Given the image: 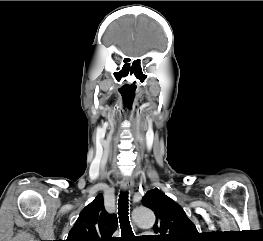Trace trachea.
Segmentation results:
<instances>
[{
	"instance_id": "obj_1",
	"label": "trachea",
	"mask_w": 263,
	"mask_h": 241,
	"mask_svg": "<svg viewBox=\"0 0 263 241\" xmlns=\"http://www.w3.org/2000/svg\"><path fill=\"white\" fill-rule=\"evenodd\" d=\"M128 193L126 191L120 192L118 199V215L121 228V237L117 241H134L130 221H129V206H128Z\"/></svg>"
}]
</instances>
